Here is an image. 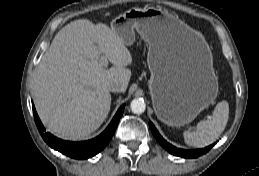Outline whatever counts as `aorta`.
<instances>
[{"label": "aorta", "mask_w": 259, "mask_h": 176, "mask_svg": "<svg viewBox=\"0 0 259 176\" xmlns=\"http://www.w3.org/2000/svg\"><path fill=\"white\" fill-rule=\"evenodd\" d=\"M130 108L133 113L141 114L146 109V104L142 98H135L131 101Z\"/></svg>", "instance_id": "762f6f07"}]
</instances>
